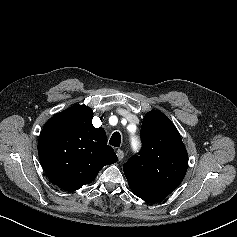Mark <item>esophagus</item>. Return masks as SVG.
<instances>
[{
    "label": "esophagus",
    "instance_id": "34e87169",
    "mask_svg": "<svg viewBox=\"0 0 237 237\" xmlns=\"http://www.w3.org/2000/svg\"><path fill=\"white\" fill-rule=\"evenodd\" d=\"M116 154H117V157H118V160H119V161H121V160L124 158V152H123V150L118 149L117 152H116Z\"/></svg>",
    "mask_w": 237,
    "mask_h": 237
}]
</instances>
